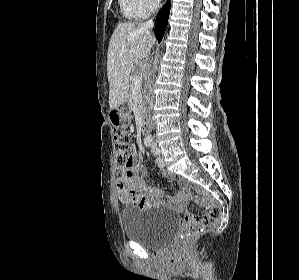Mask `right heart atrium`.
<instances>
[{"instance_id":"1","label":"right heart atrium","mask_w":299,"mask_h":280,"mask_svg":"<svg viewBox=\"0 0 299 280\" xmlns=\"http://www.w3.org/2000/svg\"><path fill=\"white\" fill-rule=\"evenodd\" d=\"M142 9L147 13L154 11L158 5L160 0H138Z\"/></svg>"}]
</instances>
